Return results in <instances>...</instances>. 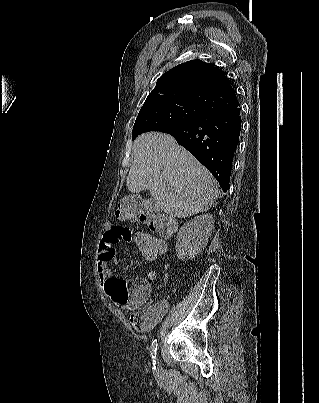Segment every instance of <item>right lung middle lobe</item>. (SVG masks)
I'll return each instance as SVG.
<instances>
[{
    "instance_id": "right-lung-middle-lobe-1",
    "label": "right lung middle lobe",
    "mask_w": 319,
    "mask_h": 403,
    "mask_svg": "<svg viewBox=\"0 0 319 403\" xmlns=\"http://www.w3.org/2000/svg\"><path fill=\"white\" fill-rule=\"evenodd\" d=\"M210 113L192 103H160L141 108L134 124L132 139L148 131H159L174 125H185Z\"/></svg>"
}]
</instances>
